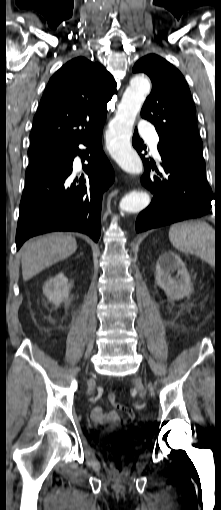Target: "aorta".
<instances>
[{
    "label": "aorta",
    "mask_w": 221,
    "mask_h": 510,
    "mask_svg": "<svg viewBox=\"0 0 221 510\" xmlns=\"http://www.w3.org/2000/svg\"><path fill=\"white\" fill-rule=\"evenodd\" d=\"M149 92L150 83L146 77L140 75L133 77L107 133V147L112 157L125 172L133 175L143 172V164L132 148L130 138L136 116ZM149 203L150 197L146 192L134 190L122 198L119 207L124 212L137 213L145 209Z\"/></svg>",
    "instance_id": "1"
}]
</instances>
